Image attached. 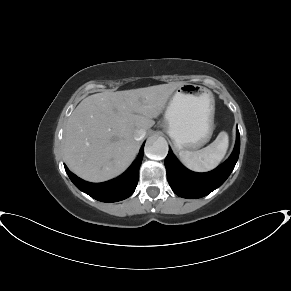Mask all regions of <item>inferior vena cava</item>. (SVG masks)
Segmentation results:
<instances>
[{
	"label": "inferior vena cava",
	"mask_w": 291,
	"mask_h": 291,
	"mask_svg": "<svg viewBox=\"0 0 291 291\" xmlns=\"http://www.w3.org/2000/svg\"><path fill=\"white\" fill-rule=\"evenodd\" d=\"M146 131L144 129H138L134 132V139L139 141L144 138Z\"/></svg>",
	"instance_id": "1"
}]
</instances>
